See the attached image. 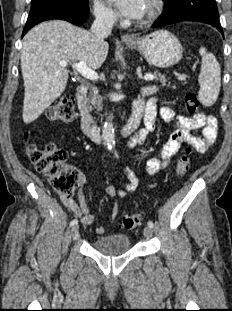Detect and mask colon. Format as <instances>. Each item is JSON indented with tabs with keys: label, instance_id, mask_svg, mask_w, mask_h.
<instances>
[{
	"label": "colon",
	"instance_id": "obj_1",
	"mask_svg": "<svg viewBox=\"0 0 232 311\" xmlns=\"http://www.w3.org/2000/svg\"><path fill=\"white\" fill-rule=\"evenodd\" d=\"M186 111L195 114L200 106L198 96L193 93H187L184 98ZM47 118L51 121L60 123H69L74 119V99L71 95L60 96L55 103L48 109ZM29 137V133H26ZM30 158L36 169L44 174L50 182L51 187L59 194L71 197L73 196L77 182V171L68 164L67 151L53 143H49L43 149L30 147ZM192 148L188 147L186 152L177 162L175 174L178 177L184 176L191 163ZM141 216L133 214L123 219V226L126 229H134L140 224Z\"/></svg>",
	"mask_w": 232,
	"mask_h": 311
}]
</instances>
